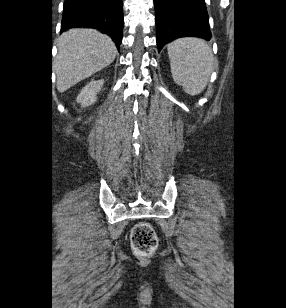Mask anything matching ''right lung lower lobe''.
<instances>
[{"instance_id":"1","label":"right lung lower lobe","mask_w":286,"mask_h":308,"mask_svg":"<svg viewBox=\"0 0 286 308\" xmlns=\"http://www.w3.org/2000/svg\"><path fill=\"white\" fill-rule=\"evenodd\" d=\"M124 25L122 0H65L61 33L68 28H94L120 48Z\"/></svg>"}]
</instances>
